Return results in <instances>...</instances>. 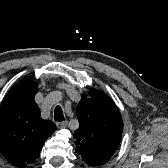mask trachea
Segmentation results:
<instances>
[{
  "instance_id": "3493384b",
  "label": "trachea",
  "mask_w": 168,
  "mask_h": 168,
  "mask_svg": "<svg viewBox=\"0 0 168 168\" xmlns=\"http://www.w3.org/2000/svg\"><path fill=\"white\" fill-rule=\"evenodd\" d=\"M54 119L56 121L62 122L65 120L62 108L60 106H56L54 110Z\"/></svg>"
}]
</instances>
